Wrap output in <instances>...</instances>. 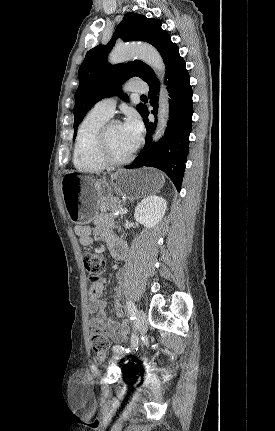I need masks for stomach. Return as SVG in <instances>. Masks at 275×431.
I'll return each instance as SVG.
<instances>
[{"label": "stomach", "instance_id": "obj_1", "mask_svg": "<svg viewBox=\"0 0 275 431\" xmlns=\"http://www.w3.org/2000/svg\"><path fill=\"white\" fill-rule=\"evenodd\" d=\"M164 182L162 173L151 168L119 170L110 182L70 172L62 177L61 192L71 222L84 225L94 218L99 201L110 199L113 192L134 200L158 192Z\"/></svg>", "mask_w": 275, "mask_h": 431}]
</instances>
